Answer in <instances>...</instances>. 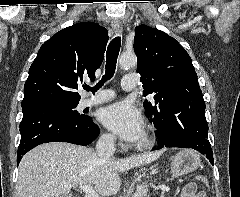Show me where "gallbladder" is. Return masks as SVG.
<instances>
[{
    "label": "gallbladder",
    "mask_w": 240,
    "mask_h": 197,
    "mask_svg": "<svg viewBox=\"0 0 240 197\" xmlns=\"http://www.w3.org/2000/svg\"><path fill=\"white\" fill-rule=\"evenodd\" d=\"M61 197H73L72 195H62Z\"/></svg>",
    "instance_id": "1"
}]
</instances>
